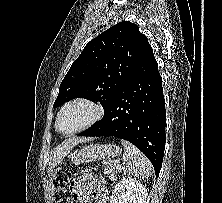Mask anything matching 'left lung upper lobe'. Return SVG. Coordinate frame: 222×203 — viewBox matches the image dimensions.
I'll use <instances>...</instances> for the list:
<instances>
[{
  "label": "left lung upper lobe",
  "instance_id": "1",
  "mask_svg": "<svg viewBox=\"0 0 222 203\" xmlns=\"http://www.w3.org/2000/svg\"><path fill=\"white\" fill-rule=\"evenodd\" d=\"M149 46L139 27L122 21L92 39L73 62L54 102L58 107L74 98L109 104L113 94L136 67Z\"/></svg>",
  "mask_w": 222,
  "mask_h": 203
}]
</instances>
